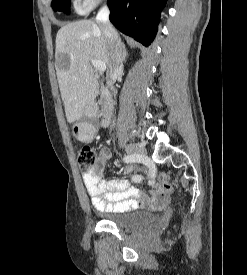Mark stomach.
<instances>
[{"label":"stomach","mask_w":247,"mask_h":275,"mask_svg":"<svg viewBox=\"0 0 247 275\" xmlns=\"http://www.w3.org/2000/svg\"><path fill=\"white\" fill-rule=\"evenodd\" d=\"M72 133L78 140H85L92 134V128L85 122H77L73 125Z\"/></svg>","instance_id":"1"}]
</instances>
